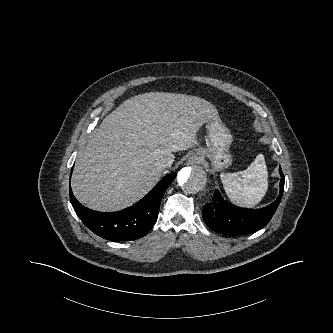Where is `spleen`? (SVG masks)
<instances>
[{"label": "spleen", "mask_w": 333, "mask_h": 333, "mask_svg": "<svg viewBox=\"0 0 333 333\" xmlns=\"http://www.w3.org/2000/svg\"><path fill=\"white\" fill-rule=\"evenodd\" d=\"M220 177L229 199L242 207L256 206L268 189V171L263 154L257 155L246 170L222 172Z\"/></svg>", "instance_id": "1"}]
</instances>
